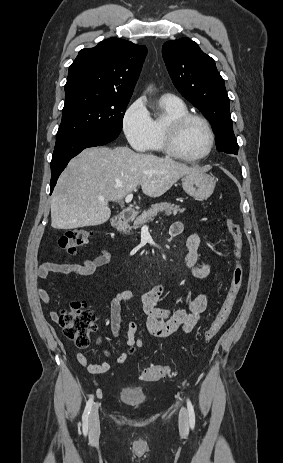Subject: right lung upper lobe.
<instances>
[{
  "label": "right lung upper lobe",
  "mask_w": 283,
  "mask_h": 463,
  "mask_svg": "<svg viewBox=\"0 0 283 463\" xmlns=\"http://www.w3.org/2000/svg\"><path fill=\"white\" fill-rule=\"evenodd\" d=\"M146 54L145 46L114 37L80 50L69 67L65 97L88 91L130 98Z\"/></svg>",
  "instance_id": "1"
}]
</instances>
